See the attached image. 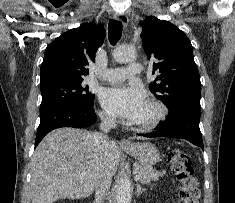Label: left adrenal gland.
Segmentation results:
<instances>
[{"instance_id": "a2214340", "label": "left adrenal gland", "mask_w": 235, "mask_h": 203, "mask_svg": "<svg viewBox=\"0 0 235 203\" xmlns=\"http://www.w3.org/2000/svg\"><path fill=\"white\" fill-rule=\"evenodd\" d=\"M143 192H145V188H142V187L140 186V184H136V192H135V194H136L137 196H139V195L142 194Z\"/></svg>"}]
</instances>
